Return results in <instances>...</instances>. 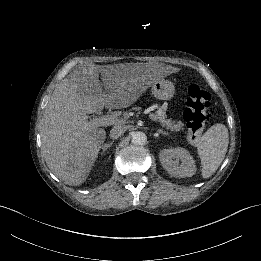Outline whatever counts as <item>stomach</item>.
<instances>
[{
  "mask_svg": "<svg viewBox=\"0 0 261 261\" xmlns=\"http://www.w3.org/2000/svg\"><path fill=\"white\" fill-rule=\"evenodd\" d=\"M152 93L157 99L170 100L176 93V87L174 83L169 80H160L153 85Z\"/></svg>",
  "mask_w": 261,
  "mask_h": 261,
  "instance_id": "0dacf381",
  "label": "stomach"
}]
</instances>
